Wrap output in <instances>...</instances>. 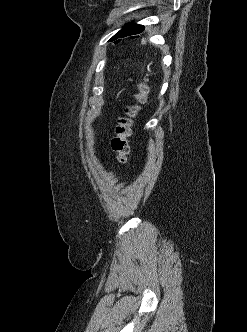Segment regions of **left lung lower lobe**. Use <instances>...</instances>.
<instances>
[{"instance_id":"0a47b994","label":"left lung lower lobe","mask_w":247,"mask_h":332,"mask_svg":"<svg viewBox=\"0 0 247 332\" xmlns=\"http://www.w3.org/2000/svg\"><path fill=\"white\" fill-rule=\"evenodd\" d=\"M143 30H144V26H142V25L127 24L126 27H124L123 29H121L118 32L117 36H118V38L119 37H126V36L135 37L137 34L142 32Z\"/></svg>"}]
</instances>
